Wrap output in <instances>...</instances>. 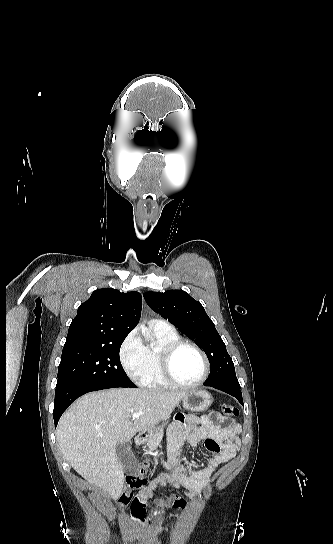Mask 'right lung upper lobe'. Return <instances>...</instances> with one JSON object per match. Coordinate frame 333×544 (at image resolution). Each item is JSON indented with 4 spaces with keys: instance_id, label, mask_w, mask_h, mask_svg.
<instances>
[{
    "instance_id": "obj_1",
    "label": "right lung upper lobe",
    "mask_w": 333,
    "mask_h": 544,
    "mask_svg": "<svg viewBox=\"0 0 333 544\" xmlns=\"http://www.w3.org/2000/svg\"><path fill=\"white\" fill-rule=\"evenodd\" d=\"M142 301L138 292L103 288L82 303L69 326L63 349L110 343L127 336L139 322Z\"/></svg>"
}]
</instances>
